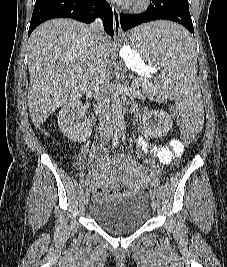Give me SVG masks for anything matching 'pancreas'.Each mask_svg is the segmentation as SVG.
I'll list each match as a JSON object with an SVG mask.
<instances>
[{
	"label": "pancreas",
	"instance_id": "pancreas-1",
	"mask_svg": "<svg viewBox=\"0 0 227 267\" xmlns=\"http://www.w3.org/2000/svg\"><path fill=\"white\" fill-rule=\"evenodd\" d=\"M138 87H142V90L146 92L147 94L152 93V91L155 90V87L153 84H151L149 81H146L144 79H138L136 81Z\"/></svg>",
	"mask_w": 227,
	"mask_h": 267
}]
</instances>
